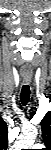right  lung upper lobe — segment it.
Returning <instances> with one entry per match:
<instances>
[{
	"mask_svg": "<svg viewBox=\"0 0 51 150\" xmlns=\"http://www.w3.org/2000/svg\"><path fill=\"white\" fill-rule=\"evenodd\" d=\"M8 129L6 123L0 120V150H6L8 146Z\"/></svg>",
	"mask_w": 51,
	"mask_h": 150,
	"instance_id": "cb5924a9",
	"label": "right lung upper lobe"
}]
</instances>
